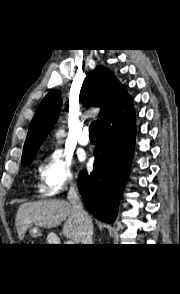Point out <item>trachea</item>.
<instances>
[{
  "instance_id": "obj_1",
  "label": "trachea",
  "mask_w": 180,
  "mask_h": 294,
  "mask_svg": "<svg viewBox=\"0 0 180 294\" xmlns=\"http://www.w3.org/2000/svg\"><path fill=\"white\" fill-rule=\"evenodd\" d=\"M98 124H99L98 120H95L91 123L90 128H89L90 136H97L98 135Z\"/></svg>"
}]
</instances>
